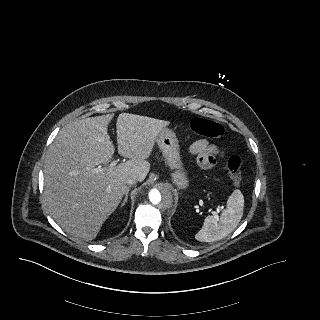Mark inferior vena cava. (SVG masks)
Masks as SVG:
<instances>
[{
    "label": "inferior vena cava",
    "instance_id": "602c4592",
    "mask_svg": "<svg viewBox=\"0 0 320 320\" xmlns=\"http://www.w3.org/2000/svg\"><path fill=\"white\" fill-rule=\"evenodd\" d=\"M137 181H138V177L136 175H131L126 179L127 184H135Z\"/></svg>",
    "mask_w": 320,
    "mask_h": 320
}]
</instances>
